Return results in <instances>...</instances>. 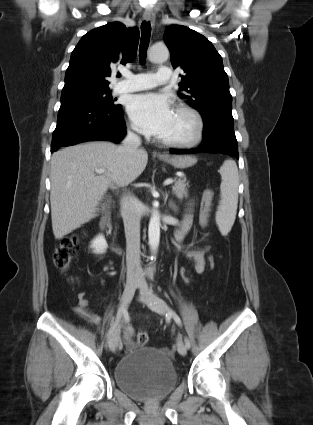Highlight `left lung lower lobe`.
I'll return each instance as SVG.
<instances>
[{
  "mask_svg": "<svg viewBox=\"0 0 313 425\" xmlns=\"http://www.w3.org/2000/svg\"><path fill=\"white\" fill-rule=\"evenodd\" d=\"M203 120V141L198 148L170 149V152L172 154H194L211 151L239 158L233 117L229 115H214Z\"/></svg>",
  "mask_w": 313,
  "mask_h": 425,
  "instance_id": "1",
  "label": "left lung lower lobe"
}]
</instances>
